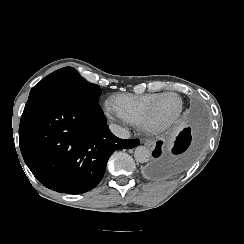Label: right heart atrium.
<instances>
[{
	"mask_svg": "<svg viewBox=\"0 0 244 244\" xmlns=\"http://www.w3.org/2000/svg\"><path fill=\"white\" fill-rule=\"evenodd\" d=\"M105 114L110 121H116L117 118L122 119L121 115L117 113L115 110H113V104H110L106 107Z\"/></svg>",
	"mask_w": 244,
	"mask_h": 244,
	"instance_id": "d8ad5b80",
	"label": "right heart atrium"
}]
</instances>
